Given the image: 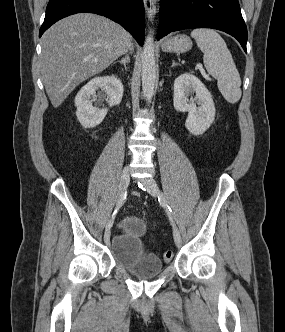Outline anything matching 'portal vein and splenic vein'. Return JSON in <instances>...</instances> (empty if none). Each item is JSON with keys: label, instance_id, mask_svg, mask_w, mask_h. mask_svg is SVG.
<instances>
[{"label": "portal vein and splenic vein", "instance_id": "obj_1", "mask_svg": "<svg viewBox=\"0 0 285 332\" xmlns=\"http://www.w3.org/2000/svg\"><path fill=\"white\" fill-rule=\"evenodd\" d=\"M197 68L202 69V65L201 64H197Z\"/></svg>", "mask_w": 285, "mask_h": 332}]
</instances>
